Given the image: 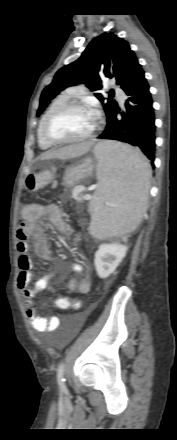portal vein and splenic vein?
Wrapping results in <instances>:
<instances>
[{
	"instance_id": "obj_1",
	"label": "portal vein and splenic vein",
	"mask_w": 177,
	"mask_h": 440,
	"mask_svg": "<svg viewBox=\"0 0 177 440\" xmlns=\"http://www.w3.org/2000/svg\"><path fill=\"white\" fill-rule=\"evenodd\" d=\"M86 197H87V199H91V196H89V195H88V196H86Z\"/></svg>"
}]
</instances>
